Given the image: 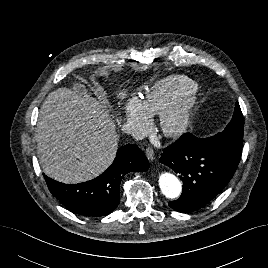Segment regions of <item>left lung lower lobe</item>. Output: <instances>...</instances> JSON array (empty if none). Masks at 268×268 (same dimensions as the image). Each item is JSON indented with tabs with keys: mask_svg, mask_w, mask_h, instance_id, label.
Listing matches in <instances>:
<instances>
[{
	"mask_svg": "<svg viewBox=\"0 0 268 268\" xmlns=\"http://www.w3.org/2000/svg\"><path fill=\"white\" fill-rule=\"evenodd\" d=\"M238 104V102L236 103ZM241 155L190 133L163 150L160 163L172 168L183 181V193L169 206L188 213L214 199L233 177Z\"/></svg>",
	"mask_w": 268,
	"mask_h": 268,
	"instance_id": "left-lung-lower-lobe-1",
	"label": "left lung lower lobe"
}]
</instances>
